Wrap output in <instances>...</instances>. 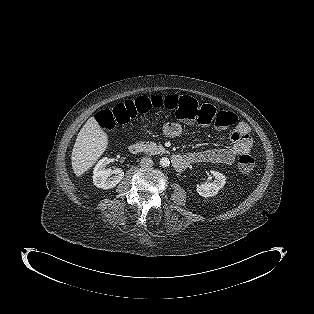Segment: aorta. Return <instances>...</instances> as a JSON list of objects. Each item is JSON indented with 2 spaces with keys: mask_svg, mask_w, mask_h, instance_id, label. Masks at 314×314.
Segmentation results:
<instances>
[{
  "mask_svg": "<svg viewBox=\"0 0 314 314\" xmlns=\"http://www.w3.org/2000/svg\"><path fill=\"white\" fill-rule=\"evenodd\" d=\"M169 164H170V161H169V159H168L167 157H162V158L160 159V165H161L162 167H168Z\"/></svg>",
  "mask_w": 314,
  "mask_h": 314,
  "instance_id": "762f6f07",
  "label": "aorta"
}]
</instances>
